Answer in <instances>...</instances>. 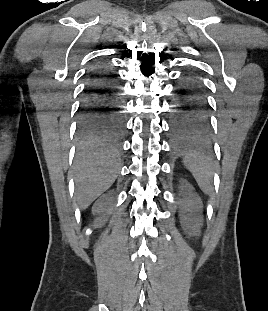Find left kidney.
I'll use <instances>...</instances> for the list:
<instances>
[{
    "label": "left kidney",
    "mask_w": 268,
    "mask_h": 311,
    "mask_svg": "<svg viewBox=\"0 0 268 311\" xmlns=\"http://www.w3.org/2000/svg\"><path fill=\"white\" fill-rule=\"evenodd\" d=\"M182 193L186 195L184 203L187 208L191 209L193 212H197L201 209V200L192 191L193 187L185 180L181 185ZM183 228L188 235H197L200 229L199 223L195 218H190L183 223Z\"/></svg>",
    "instance_id": "left-kidney-1"
}]
</instances>
